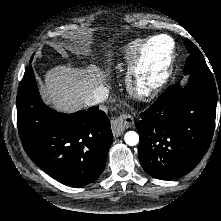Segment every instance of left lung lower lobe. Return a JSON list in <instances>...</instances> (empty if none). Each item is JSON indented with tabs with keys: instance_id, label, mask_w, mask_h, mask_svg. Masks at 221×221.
<instances>
[{
	"instance_id": "left-lung-lower-lobe-1",
	"label": "left lung lower lobe",
	"mask_w": 221,
	"mask_h": 221,
	"mask_svg": "<svg viewBox=\"0 0 221 221\" xmlns=\"http://www.w3.org/2000/svg\"><path fill=\"white\" fill-rule=\"evenodd\" d=\"M218 88L213 75L192 73L184 89L168 87L141 114L139 161L146 173L172 180L196 167L213 137Z\"/></svg>"
}]
</instances>
